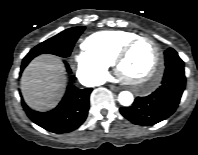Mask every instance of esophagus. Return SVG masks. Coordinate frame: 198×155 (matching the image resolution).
Returning a JSON list of instances; mask_svg holds the SVG:
<instances>
[{
  "instance_id": "34e87169",
  "label": "esophagus",
  "mask_w": 198,
  "mask_h": 155,
  "mask_svg": "<svg viewBox=\"0 0 198 155\" xmlns=\"http://www.w3.org/2000/svg\"><path fill=\"white\" fill-rule=\"evenodd\" d=\"M109 87H110V89H111L112 91H115V92H117V91H119V90H120V88H119V87L114 86V85H110Z\"/></svg>"
}]
</instances>
